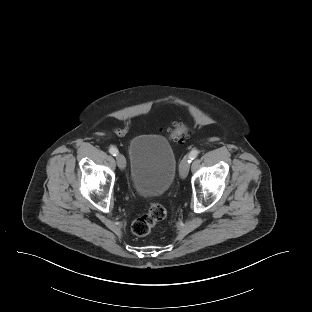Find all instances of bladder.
Returning a JSON list of instances; mask_svg holds the SVG:
<instances>
[{"label":"bladder","instance_id":"bladder-1","mask_svg":"<svg viewBox=\"0 0 312 312\" xmlns=\"http://www.w3.org/2000/svg\"><path fill=\"white\" fill-rule=\"evenodd\" d=\"M129 155L130 182L137 195L160 196L170 188L177 162L173 148L164 136H136L130 142Z\"/></svg>","mask_w":312,"mask_h":312}]
</instances>
